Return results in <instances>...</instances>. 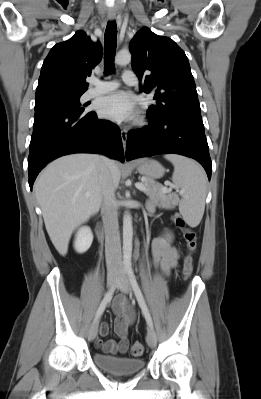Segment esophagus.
Returning <instances> with one entry per match:
<instances>
[{
  "mask_svg": "<svg viewBox=\"0 0 261 399\" xmlns=\"http://www.w3.org/2000/svg\"><path fill=\"white\" fill-rule=\"evenodd\" d=\"M115 18H116V15L114 13H109L108 14V19L110 21L115 20ZM120 132H121V140H122V143H123V148L125 150L126 149V142H127V130L124 129V128H121Z\"/></svg>",
  "mask_w": 261,
  "mask_h": 399,
  "instance_id": "esophagus-1",
  "label": "esophagus"
}]
</instances>
